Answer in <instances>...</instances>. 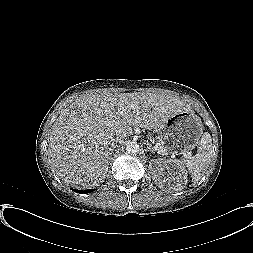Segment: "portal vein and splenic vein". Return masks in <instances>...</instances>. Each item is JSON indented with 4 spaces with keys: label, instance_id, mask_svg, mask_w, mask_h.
I'll return each instance as SVG.
<instances>
[{
    "label": "portal vein and splenic vein",
    "instance_id": "portal-vein-and-splenic-vein-1",
    "mask_svg": "<svg viewBox=\"0 0 253 253\" xmlns=\"http://www.w3.org/2000/svg\"><path fill=\"white\" fill-rule=\"evenodd\" d=\"M154 149H155L159 154H163V155L166 154V152L163 151V150H161L160 147H158V146H155Z\"/></svg>",
    "mask_w": 253,
    "mask_h": 253
}]
</instances>
